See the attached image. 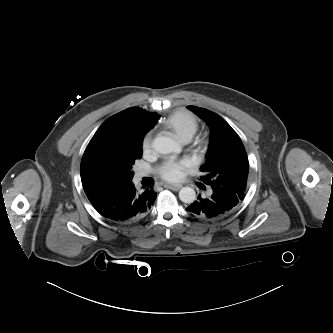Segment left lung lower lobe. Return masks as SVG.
I'll return each mask as SVG.
<instances>
[{"instance_id": "left-lung-lower-lobe-1", "label": "left lung lower lobe", "mask_w": 333, "mask_h": 333, "mask_svg": "<svg viewBox=\"0 0 333 333\" xmlns=\"http://www.w3.org/2000/svg\"><path fill=\"white\" fill-rule=\"evenodd\" d=\"M240 203L237 195L231 190L214 186L210 187V195L194 201L186 210L197 218L216 221L230 214Z\"/></svg>"}]
</instances>
